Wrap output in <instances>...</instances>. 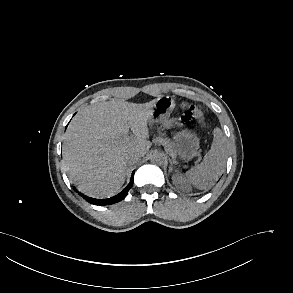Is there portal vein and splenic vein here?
<instances>
[{
	"instance_id": "obj_1",
	"label": "portal vein and splenic vein",
	"mask_w": 293,
	"mask_h": 293,
	"mask_svg": "<svg viewBox=\"0 0 293 293\" xmlns=\"http://www.w3.org/2000/svg\"><path fill=\"white\" fill-rule=\"evenodd\" d=\"M130 139H131V137H129V136H125V137H124V140H127V141H128V140H130Z\"/></svg>"
}]
</instances>
